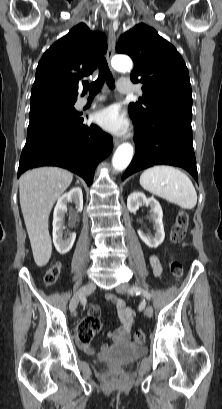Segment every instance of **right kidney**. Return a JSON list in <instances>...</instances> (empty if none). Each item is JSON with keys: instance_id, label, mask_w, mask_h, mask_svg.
<instances>
[{"instance_id": "ca27d5eb", "label": "right kidney", "mask_w": 222, "mask_h": 409, "mask_svg": "<svg viewBox=\"0 0 222 409\" xmlns=\"http://www.w3.org/2000/svg\"><path fill=\"white\" fill-rule=\"evenodd\" d=\"M74 202L78 212L83 210V194L80 187H74L63 194L57 201L53 213V243L58 253H68L75 241V233L64 234V216L67 211V203Z\"/></svg>"}]
</instances>
